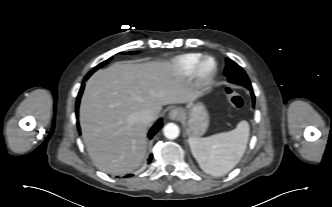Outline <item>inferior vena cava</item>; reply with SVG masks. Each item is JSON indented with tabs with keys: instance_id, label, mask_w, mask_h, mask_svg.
Masks as SVG:
<instances>
[{
	"instance_id": "1",
	"label": "inferior vena cava",
	"mask_w": 332,
	"mask_h": 207,
	"mask_svg": "<svg viewBox=\"0 0 332 207\" xmlns=\"http://www.w3.org/2000/svg\"><path fill=\"white\" fill-rule=\"evenodd\" d=\"M138 117L140 122L148 125L154 120L155 113L151 109H145L141 113H139Z\"/></svg>"
}]
</instances>
